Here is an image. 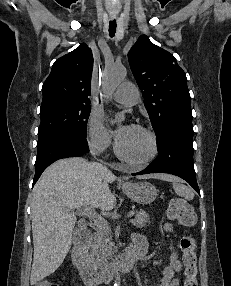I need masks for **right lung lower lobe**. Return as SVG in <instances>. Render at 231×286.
<instances>
[{
  "label": "right lung lower lobe",
  "mask_w": 231,
  "mask_h": 286,
  "mask_svg": "<svg viewBox=\"0 0 231 286\" xmlns=\"http://www.w3.org/2000/svg\"><path fill=\"white\" fill-rule=\"evenodd\" d=\"M35 162V184L42 172L53 162L61 158L79 157L89 152L87 141L75 135H58L37 144Z\"/></svg>",
  "instance_id": "1"
}]
</instances>
